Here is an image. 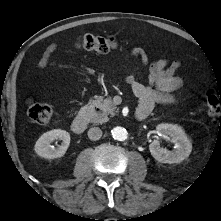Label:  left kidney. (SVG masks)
Segmentation results:
<instances>
[{
	"label": "left kidney",
	"instance_id": "1",
	"mask_svg": "<svg viewBox=\"0 0 221 221\" xmlns=\"http://www.w3.org/2000/svg\"><path fill=\"white\" fill-rule=\"evenodd\" d=\"M157 134L174 143V150L169 151L160 146L159 137L149 145L151 155L161 163H180L188 158L192 151V144L184 130L174 124L161 123L156 127Z\"/></svg>",
	"mask_w": 221,
	"mask_h": 221
}]
</instances>
